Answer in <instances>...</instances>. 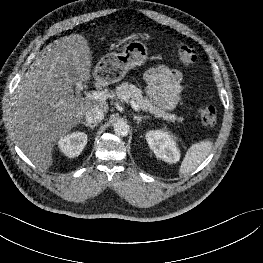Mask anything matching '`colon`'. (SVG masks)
Wrapping results in <instances>:
<instances>
[{"label":"colon","mask_w":263,"mask_h":263,"mask_svg":"<svg viewBox=\"0 0 263 263\" xmlns=\"http://www.w3.org/2000/svg\"><path fill=\"white\" fill-rule=\"evenodd\" d=\"M177 52L179 59L186 66L194 65L197 61V53L194 48L182 41L177 43ZM197 114L201 122L206 126H213L217 121L218 112L212 104L200 106Z\"/></svg>","instance_id":"1"}]
</instances>
